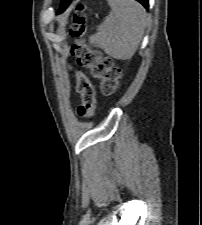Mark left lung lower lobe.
Wrapping results in <instances>:
<instances>
[{
  "label": "left lung lower lobe",
  "mask_w": 202,
  "mask_h": 225,
  "mask_svg": "<svg viewBox=\"0 0 202 225\" xmlns=\"http://www.w3.org/2000/svg\"><path fill=\"white\" fill-rule=\"evenodd\" d=\"M138 2H140L146 9H148L149 5H148V0H137Z\"/></svg>",
  "instance_id": "1"
}]
</instances>
